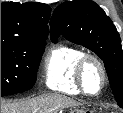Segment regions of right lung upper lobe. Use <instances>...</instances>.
<instances>
[{"label":"right lung upper lobe","instance_id":"1","mask_svg":"<svg viewBox=\"0 0 123 113\" xmlns=\"http://www.w3.org/2000/svg\"><path fill=\"white\" fill-rule=\"evenodd\" d=\"M50 12L43 3H1V42L46 39Z\"/></svg>","mask_w":123,"mask_h":113}]
</instances>
